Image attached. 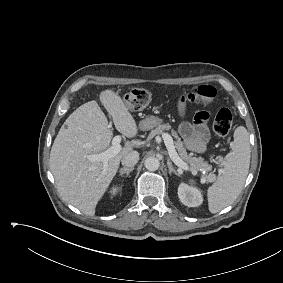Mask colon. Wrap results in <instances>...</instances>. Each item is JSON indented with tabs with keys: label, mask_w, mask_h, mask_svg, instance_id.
Wrapping results in <instances>:
<instances>
[{
	"label": "colon",
	"mask_w": 283,
	"mask_h": 283,
	"mask_svg": "<svg viewBox=\"0 0 283 283\" xmlns=\"http://www.w3.org/2000/svg\"><path fill=\"white\" fill-rule=\"evenodd\" d=\"M189 93L195 95L203 101H211L216 95V89L209 84H203L194 87ZM151 95L149 91L143 88H134L124 98L126 106L130 110H142L149 105ZM233 124V115L229 108L223 107L217 112L214 123V132L221 137L227 136Z\"/></svg>",
	"instance_id": "5ec220e1"
}]
</instances>
